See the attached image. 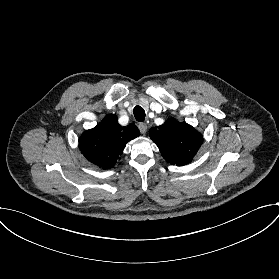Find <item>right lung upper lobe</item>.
I'll list each match as a JSON object with an SVG mask.
<instances>
[{
  "instance_id": "cb5924a9",
  "label": "right lung upper lobe",
  "mask_w": 279,
  "mask_h": 279,
  "mask_svg": "<svg viewBox=\"0 0 279 279\" xmlns=\"http://www.w3.org/2000/svg\"><path fill=\"white\" fill-rule=\"evenodd\" d=\"M134 124L122 127L117 116L109 114L95 128L85 131L79 140V147L86 159L106 169L116 163L128 141L139 136Z\"/></svg>"
}]
</instances>
